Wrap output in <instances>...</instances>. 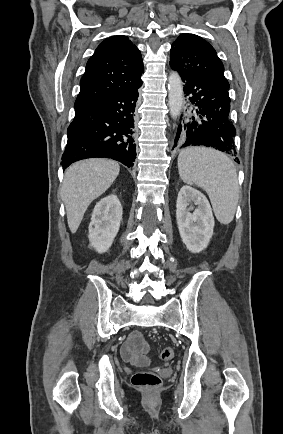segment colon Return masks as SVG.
Instances as JSON below:
<instances>
[{"instance_id": "5ec220e1", "label": "colon", "mask_w": 283, "mask_h": 434, "mask_svg": "<svg viewBox=\"0 0 283 434\" xmlns=\"http://www.w3.org/2000/svg\"><path fill=\"white\" fill-rule=\"evenodd\" d=\"M174 351L171 348H164L160 356L163 360H172ZM132 384L138 388L154 389L161 384V378L152 371H140L132 377Z\"/></svg>"}]
</instances>
